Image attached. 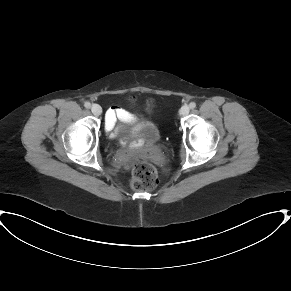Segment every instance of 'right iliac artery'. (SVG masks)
Returning <instances> with one entry per match:
<instances>
[{
    "instance_id": "obj_1",
    "label": "right iliac artery",
    "mask_w": 291,
    "mask_h": 291,
    "mask_svg": "<svg viewBox=\"0 0 291 291\" xmlns=\"http://www.w3.org/2000/svg\"><path fill=\"white\" fill-rule=\"evenodd\" d=\"M84 106H85L86 108H90V107H91V104H90V102H85V103H84Z\"/></svg>"
}]
</instances>
